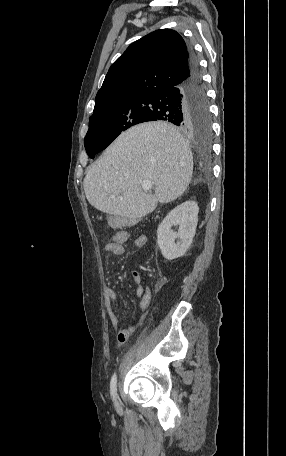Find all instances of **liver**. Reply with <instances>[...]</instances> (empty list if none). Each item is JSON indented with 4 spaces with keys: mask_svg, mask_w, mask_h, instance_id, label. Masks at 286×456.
Here are the masks:
<instances>
[{
    "mask_svg": "<svg viewBox=\"0 0 286 456\" xmlns=\"http://www.w3.org/2000/svg\"><path fill=\"white\" fill-rule=\"evenodd\" d=\"M192 173L188 142L173 125L156 121L123 132L90 168L83 184L96 209L135 222L158 202L183 195ZM145 180L154 182V195L143 191Z\"/></svg>",
    "mask_w": 286,
    "mask_h": 456,
    "instance_id": "1",
    "label": "liver"
}]
</instances>
